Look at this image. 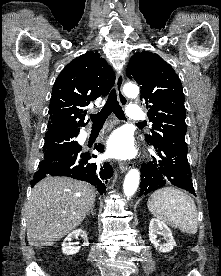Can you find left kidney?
I'll return each instance as SVG.
<instances>
[{"instance_id":"5707ae66","label":"left kidney","mask_w":221,"mask_h":276,"mask_svg":"<svg viewBox=\"0 0 221 276\" xmlns=\"http://www.w3.org/2000/svg\"><path fill=\"white\" fill-rule=\"evenodd\" d=\"M158 234L164 236L166 243H159V240H157ZM149 240L160 252L163 253L170 252L176 246L170 228L164 222L156 218H152L149 224Z\"/></svg>"}]
</instances>
